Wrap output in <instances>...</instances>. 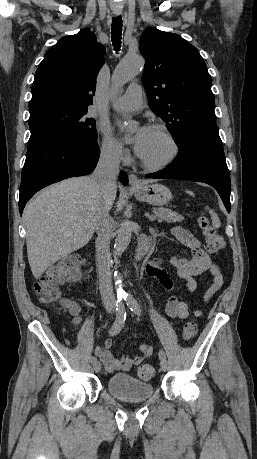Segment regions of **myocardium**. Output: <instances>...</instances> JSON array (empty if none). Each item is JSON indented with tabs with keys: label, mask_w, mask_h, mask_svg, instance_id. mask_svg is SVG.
Returning <instances> with one entry per match:
<instances>
[{
	"label": "myocardium",
	"mask_w": 257,
	"mask_h": 459,
	"mask_svg": "<svg viewBox=\"0 0 257 459\" xmlns=\"http://www.w3.org/2000/svg\"><path fill=\"white\" fill-rule=\"evenodd\" d=\"M151 128L158 130L160 133H162L166 137V139L169 141L171 145L172 151L170 155L164 161L159 162V163L148 162L145 159H143L139 154H138V158L140 160L141 165L147 170H150V171L164 170L176 161L180 153V146L175 136L165 125L155 123L151 126Z\"/></svg>",
	"instance_id": "f54148a6"
}]
</instances>
